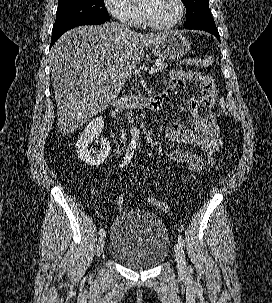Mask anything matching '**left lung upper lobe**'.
<instances>
[{
	"mask_svg": "<svg viewBox=\"0 0 272 303\" xmlns=\"http://www.w3.org/2000/svg\"><path fill=\"white\" fill-rule=\"evenodd\" d=\"M186 6L187 20L185 28H195L206 25H215L209 0H182Z\"/></svg>",
	"mask_w": 272,
	"mask_h": 303,
	"instance_id": "left-lung-upper-lobe-1",
	"label": "left lung upper lobe"
}]
</instances>
